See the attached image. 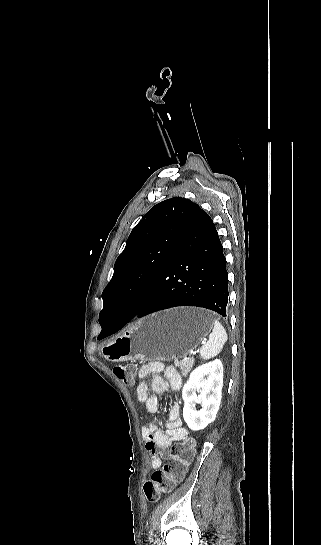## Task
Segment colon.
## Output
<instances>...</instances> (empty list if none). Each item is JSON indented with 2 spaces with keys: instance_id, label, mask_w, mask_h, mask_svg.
<instances>
[{
  "instance_id": "colon-1",
  "label": "colon",
  "mask_w": 321,
  "mask_h": 545,
  "mask_svg": "<svg viewBox=\"0 0 321 545\" xmlns=\"http://www.w3.org/2000/svg\"><path fill=\"white\" fill-rule=\"evenodd\" d=\"M113 374L125 385L134 382L135 370L132 365L118 364L112 369ZM194 457V443L187 439L176 443L172 449L168 462L154 471L144 483L143 492L149 502H156L163 495L170 493L177 483L185 476L187 467Z\"/></svg>"
}]
</instances>
